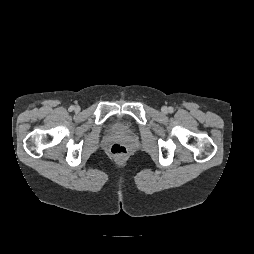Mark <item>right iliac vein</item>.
<instances>
[{
	"label": "right iliac vein",
	"instance_id": "right-iliac-vein-1",
	"mask_svg": "<svg viewBox=\"0 0 254 254\" xmlns=\"http://www.w3.org/2000/svg\"><path fill=\"white\" fill-rule=\"evenodd\" d=\"M75 111H76V112L80 111V107H79V106H76V107H75Z\"/></svg>",
	"mask_w": 254,
	"mask_h": 254
}]
</instances>
